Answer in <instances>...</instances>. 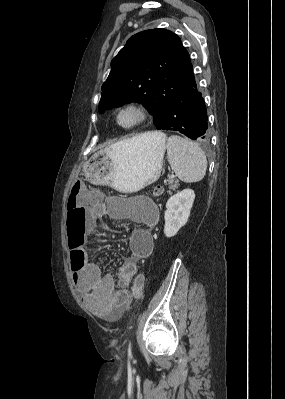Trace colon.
<instances>
[{
    "mask_svg": "<svg viewBox=\"0 0 285 399\" xmlns=\"http://www.w3.org/2000/svg\"><path fill=\"white\" fill-rule=\"evenodd\" d=\"M86 190L87 186L81 181H76L73 185V194H79ZM162 192L163 190L161 187H155L153 194L155 196H159L162 194ZM68 210H69L68 218L71 224H77L87 218L86 212L82 208H80L76 204V202L73 203V201H69ZM68 243L73 253L71 268L73 270H80L83 267L85 260L84 252L82 251L81 248H79V242L77 240V237L72 232L68 233ZM143 287H144V279L141 275H138L133 285L134 294L141 295L143 293Z\"/></svg>",
    "mask_w": 285,
    "mask_h": 399,
    "instance_id": "5ec220e1",
    "label": "colon"
}]
</instances>
